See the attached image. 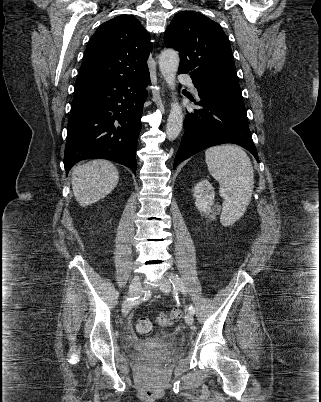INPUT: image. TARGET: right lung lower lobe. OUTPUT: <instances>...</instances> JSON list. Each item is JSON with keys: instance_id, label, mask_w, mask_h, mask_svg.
Wrapping results in <instances>:
<instances>
[{"instance_id": "right-lung-lower-lobe-1", "label": "right lung lower lobe", "mask_w": 321, "mask_h": 402, "mask_svg": "<svg viewBox=\"0 0 321 402\" xmlns=\"http://www.w3.org/2000/svg\"><path fill=\"white\" fill-rule=\"evenodd\" d=\"M149 72L74 88L64 154L66 174L77 162L104 158L136 174V148Z\"/></svg>"}]
</instances>
